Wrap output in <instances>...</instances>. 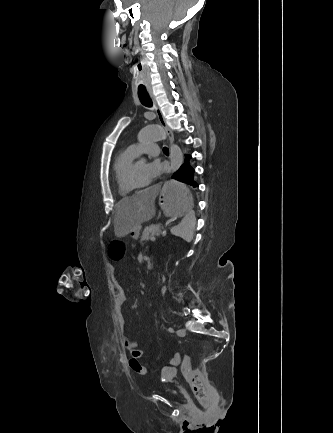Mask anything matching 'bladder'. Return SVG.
I'll use <instances>...</instances> for the list:
<instances>
[{"label": "bladder", "instance_id": "obj_1", "mask_svg": "<svg viewBox=\"0 0 333 433\" xmlns=\"http://www.w3.org/2000/svg\"><path fill=\"white\" fill-rule=\"evenodd\" d=\"M163 393L166 395H169V396L175 395V392L173 390H170V389L163 390Z\"/></svg>", "mask_w": 333, "mask_h": 433}]
</instances>
